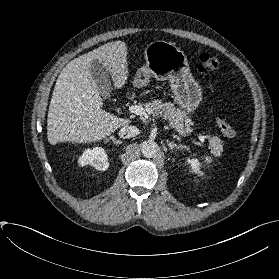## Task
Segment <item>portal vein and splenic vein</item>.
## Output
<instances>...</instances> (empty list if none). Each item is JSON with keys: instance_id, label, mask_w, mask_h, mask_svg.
I'll use <instances>...</instances> for the list:
<instances>
[{"instance_id": "obj_1", "label": "portal vein and splenic vein", "mask_w": 279, "mask_h": 279, "mask_svg": "<svg viewBox=\"0 0 279 279\" xmlns=\"http://www.w3.org/2000/svg\"><path fill=\"white\" fill-rule=\"evenodd\" d=\"M129 111L133 114H136L138 116L146 115V109L143 108L140 105H132L129 107ZM198 139L202 142L205 143V136L198 135Z\"/></svg>"}]
</instances>
